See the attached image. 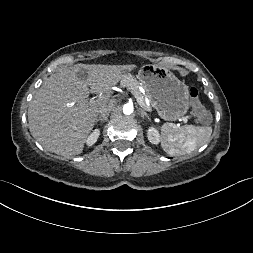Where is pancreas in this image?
Wrapping results in <instances>:
<instances>
[{
    "label": "pancreas",
    "instance_id": "cf45deb5",
    "mask_svg": "<svg viewBox=\"0 0 253 253\" xmlns=\"http://www.w3.org/2000/svg\"><path fill=\"white\" fill-rule=\"evenodd\" d=\"M121 86L127 87V88L128 87L134 88L138 92V94L142 97V93L139 90L138 81L134 77L126 76L125 78H123L121 80Z\"/></svg>",
    "mask_w": 253,
    "mask_h": 253
}]
</instances>
